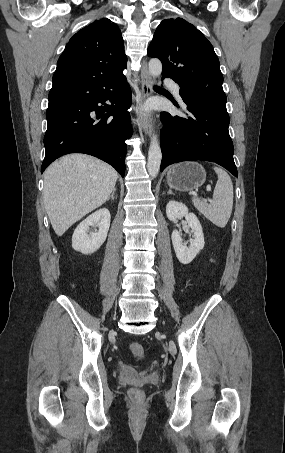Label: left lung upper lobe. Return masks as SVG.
Returning a JSON list of instances; mask_svg holds the SVG:
<instances>
[{
    "mask_svg": "<svg viewBox=\"0 0 285 453\" xmlns=\"http://www.w3.org/2000/svg\"><path fill=\"white\" fill-rule=\"evenodd\" d=\"M148 55L161 60L162 76L178 83L183 95L226 104L218 57L211 43L192 24L182 18L163 20Z\"/></svg>",
    "mask_w": 285,
    "mask_h": 453,
    "instance_id": "1",
    "label": "left lung upper lobe"
}]
</instances>
